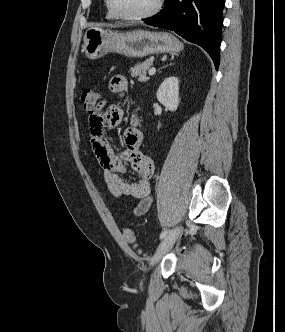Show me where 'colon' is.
<instances>
[{
    "label": "colon",
    "mask_w": 285,
    "mask_h": 332,
    "mask_svg": "<svg viewBox=\"0 0 285 332\" xmlns=\"http://www.w3.org/2000/svg\"><path fill=\"white\" fill-rule=\"evenodd\" d=\"M101 96V93L95 89L83 90L80 95V101L83 105L84 110L91 114V111H93V107H96L97 103H100ZM123 236L129 244H136V235L132 229H124Z\"/></svg>",
    "instance_id": "5ec220e1"
}]
</instances>
